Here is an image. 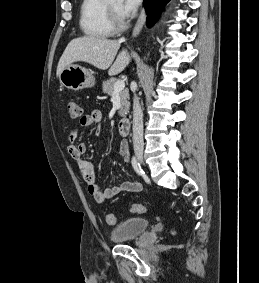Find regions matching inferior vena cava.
Segmentation results:
<instances>
[{"label":"inferior vena cava","mask_w":259,"mask_h":283,"mask_svg":"<svg viewBox=\"0 0 259 283\" xmlns=\"http://www.w3.org/2000/svg\"><path fill=\"white\" fill-rule=\"evenodd\" d=\"M133 85L136 84L133 82ZM133 145L135 149H143V113L139 104V99L134 94L133 100Z\"/></svg>","instance_id":"1"}]
</instances>
